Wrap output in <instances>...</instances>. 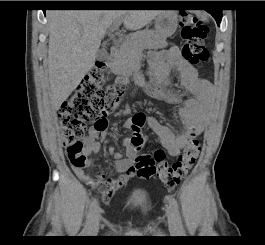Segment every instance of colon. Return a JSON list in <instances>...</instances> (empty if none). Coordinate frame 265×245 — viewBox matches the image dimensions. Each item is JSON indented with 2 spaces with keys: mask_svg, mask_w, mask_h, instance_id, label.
Returning <instances> with one entry per match:
<instances>
[{
  "mask_svg": "<svg viewBox=\"0 0 265 245\" xmlns=\"http://www.w3.org/2000/svg\"><path fill=\"white\" fill-rule=\"evenodd\" d=\"M207 24L204 20L188 14L182 15L181 35L183 40L182 56L191 64L201 65L209 62V52L205 46ZM107 65L98 61L82 82L58 109L60 132L65 153L75 167H84V138L91 120L97 119L95 126L104 128L103 117L112 113L118 106L124 89L106 84ZM145 115L137 113L131 119V138L133 146L140 148L145 143L141 128ZM201 151L199 133H194L177 159L166 161V154L157 150L153 154H144L137 158L132 171L143 179L159 177L169 189L177 186L195 164Z\"/></svg>",
  "mask_w": 265,
  "mask_h": 245,
  "instance_id": "colon-1",
  "label": "colon"
}]
</instances>
